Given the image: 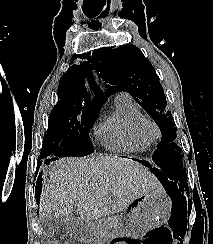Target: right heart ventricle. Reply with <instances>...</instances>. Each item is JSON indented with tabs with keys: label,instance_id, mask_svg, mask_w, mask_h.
Wrapping results in <instances>:
<instances>
[{
	"label": "right heart ventricle",
	"instance_id": "obj_1",
	"mask_svg": "<svg viewBox=\"0 0 213 244\" xmlns=\"http://www.w3.org/2000/svg\"><path fill=\"white\" fill-rule=\"evenodd\" d=\"M145 118L138 105L126 94L114 98V109L97 126L95 134L102 146L113 152H145L152 145L137 131Z\"/></svg>",
	"mask_w": 213,
	"mask_h": 244
}]
</instances>
